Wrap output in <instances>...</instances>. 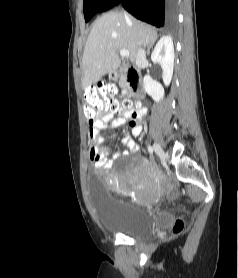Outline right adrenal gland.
Wrapping results in <instances>:
<instances>
[{"instance_id": "1", "label": "right adrenal gland", "mask_w": 238, "mask_h": 278, "mask_svg": "<svg viewBox=\"0 0 238 278\" xmlns=\"http://www.w3.org/2000/svg\"><path fill=\"white\" fill-rule=\"evenodd\" d=\"M151 47H152V44L148 45V47H147V55L150 54V49H151Z\"/></svg>"}]
</instances>
